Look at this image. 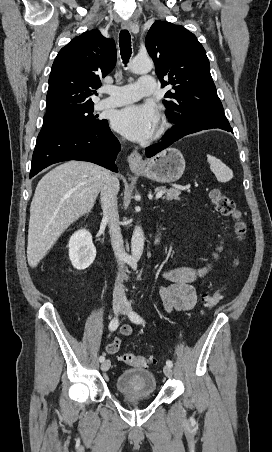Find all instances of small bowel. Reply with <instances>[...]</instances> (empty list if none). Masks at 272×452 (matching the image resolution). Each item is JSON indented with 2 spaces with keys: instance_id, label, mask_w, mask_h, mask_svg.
I'll use <instances>...</instances> for the list:
<instances>
[{
  "instance_id": "1",
  "label": "small bowel",
  "mask_w": 272,
  "mask_h": 452,
  "mask_svg": "<svg viewBox=\"0 0 272 452\" xmlns=\"http://www.w3.org/2000/svg\"><path fill=\"white\" fill-rule=\"evenodd\" d=\"M208 271L209 267L193 268L186 265L174 266L166 270L164 277L170 284L160 289V296L166 310L189 311L193 309L197 302L194 283L200 280ZM132 333L131 326H121L117 336L106 344V353L109 355L116 354L121 348V338L131 336Z\"/></svg>"
}]
</instances>
